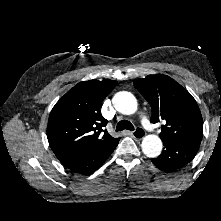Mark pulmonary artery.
Returning a JSON list of instances; mask_svg holds the SVG:
<instances>
[{"label":"pulmonary artery","instance_id":"1","mask_svg":"<svg viewBox=\"0 0 221 221\" xmlns=\"http://www.w3.org/2000/svg\"><path fill=\"white\" fill-rule=\"evenodd\" d=\"M141 123L145 129L150 130L151 125L149 124V122L147 121V119L145 117L141 118Z\"/></svg>","mask_w":221,"mask_h":221}]
</instances>
